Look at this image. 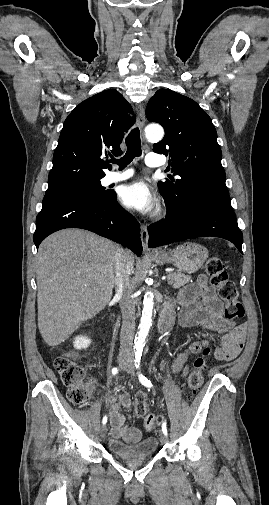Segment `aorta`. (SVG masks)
Instances as JSON below:
<instances>
[{"label":"aorta","instance_id":"1","mask_svg":"<svg viewBox=\"0 0 269 505\" xmlns=\"http://www.w3.org/2000/svg\"><path fill=\"white\" fill-rule=\"evenodd\" d=\"M145 136L148 140L160 141L164 136V130L160 125H149L145 128ZM153 308L154 295L151 291H147L143 300L142 317L134 346L137 352H142L145 346L146 338L152 325Z\"/></svg>","mask_w":269,"mask_h":505}]
</instances>
